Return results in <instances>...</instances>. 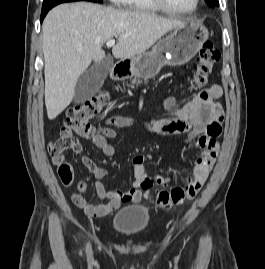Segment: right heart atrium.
Listing matches in <instances>:
<instances>
[{"label": "right heart atrium", "mask_w": 265, "mask_h": 269, "mask_svg": "<svg viewBox=\"0 0 265 269\" xmlns=\"http://www.w3.org/2000/svg\"><path fill=\"white\" fill-rule=\"evenodd\" d=\"M112 4L118 5L123 2V0H109Z\"/></svg>", "instance_id": "1"}]
</instances>
